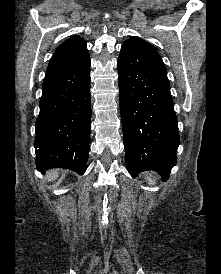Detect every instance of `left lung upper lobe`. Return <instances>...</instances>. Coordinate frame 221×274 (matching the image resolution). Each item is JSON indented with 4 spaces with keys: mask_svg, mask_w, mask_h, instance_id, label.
Returning <instances> with one entry per match:
<instances>
[{
    "mask_svg": "<svg viewBox=\"0 0 221 274\" xmlns=\"http://www.w3.org/2000/svg\"><path fill=\"white\" fill-rule=\"evenodd\" d=\"M124 43L131 44V45L137 47L138 49L144 51L145 53L162 60V58H161L160 54L158 53V51L156 50V48L153 45H151L150 43L142 40L139 37L132 36V37H130V39L126 40Z\"/></svg>",
    "mask_w": 221,
    "mask_h": 274,
    "instance_id": "obj_1",
    "label": "left lung upper lobe"
}]
</instances>
